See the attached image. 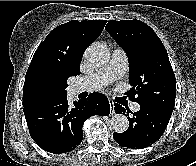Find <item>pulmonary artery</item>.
<instances>
[{
  "label": "pulmonary artery",
  "instance_id": "1",
  "mask_svg": "<svg viewBox=\"0 0 196 166\" xmlns=\"http://www.w3.org/2000/svg\"><path fill=\"white\" fill-rule=\"evenodd\" d=\"M127 66L128 59L126 52L120 48H115L109 63L103 69L79 79L71 86V90L75 94L99 90L123 77L127 71ZM131 109L139 111L140 105L134 102L131 105Z\"/></svg>",
  "mask_w": 196,
  "mask_h": 166
}]
</instances>
